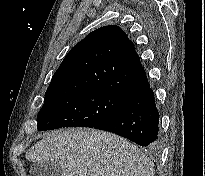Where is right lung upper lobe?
<instances>
[{
	"label": "right lung upper lobe",
	"instance_id": "right-lung-upper-lobe-1",
	"mask_svg": "<svg viewBox=\"0 0 205 176\" xmlns=\"http://www.w3.org/2000/svg\"><path fill=\"white\" fill-rule=\"evenodd\" d=\"M149 86L133 43L116 25L101 27L65 56L45 96L101 90L122 97Z\"/></svg>",
	"mask_w": 205,
	"mask_h": 176
}]
</instances>
